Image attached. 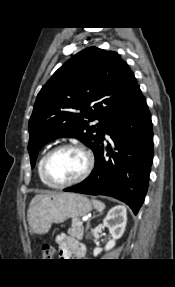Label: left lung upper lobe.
I'll use <instances>...</instances> for the list:
<instances>
[{
	"mask_svg": "<svg viewBox=\"0 0 175 287\" xmlns=\"http://www.w3.org/2000/svg\"><path fill=\"white\" fill-rule=\"evenodd\" d=\"M137 87L116 52L90 47L74 55L37 96L29 121L31 166L38 151L59 137H75L95 154L110 121L131 102ZM94 120L99 123L90 125Z\"/></svg>",
	"mask_w": 175,
	"mask_h": 287,
	"instance_id": "left-lung-upper-lobe-1",
	"label": "left lung upper lobe"
}]
</instances>
